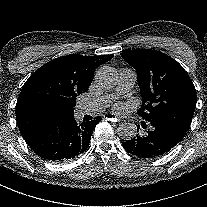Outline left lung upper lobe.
Wrapping results in <instances>:
<instances>
[{
    "mask_svg": "<svg viewBox=\"0 0 207 207\" xmlns=\"http://www.w3.org/2000/svg\"><path fill=\"white\" fill-rule=\"evenodd\" d=\"M121 56L137 71L143 98L137 111L149 124L170 128L183 138L195 111L196 90L184 68L166 54L135 50Z\"/></svg>",
    "mask_w": 207,
    "mask_h": 207,
    "instance_id": "left-lung-upper-lobe-1",
    "label": "left lung upper lobe"
}]
</instances>
